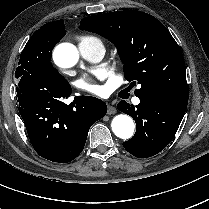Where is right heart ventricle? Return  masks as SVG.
Returning <instances> with one entry per match:
<instances>
[{
    "label": "right heart ventricle",
    "mask_w": 209,
    "mask_h": 209,
    "mask_svg": "<svg viewBox=\"0 0 209 209\" xmlns=\"http://www.w3.org/2000/svg\"><path fill=\"white\" fill-rule=\"evenodd\" d=\"M98 41V39L92 37V36H83L81 38V42L80 43H86V42H95Z\"/></svg>",
    "instance_id": "e07e8e85"
}]
</instances>
